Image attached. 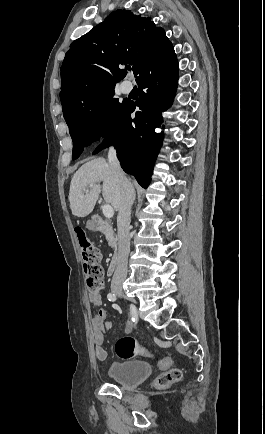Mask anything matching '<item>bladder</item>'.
Returning a JSON list of instances; mask_svg holds the SVG:
<instances>
[{"label": "bladder", "mask_w": 265, "mask_h": 434, "mask_svg": "<svg viewBox=\"0 0 265 434\" xmlns=\"http://www.w3.org/2000/svg\"><path fill=\"white\" fill-rule=\"evenodd\" d=\"M151 374V366L142 360H126L113 363L108 369L109 377L124 389L138 387Z\"/></svg>", "instance_id": "obj_1"}]
</instances>
